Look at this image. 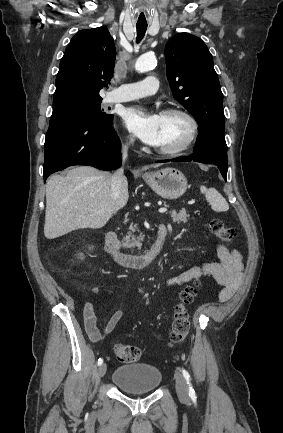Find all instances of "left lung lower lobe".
I'll list each match as a JSON object with an SVG mask.
<instances>
[{"label": "left lung lower lobe", "mask_w": 283, "mask_h": 433, "mask_svg": "<svg viewBox=\"0 0 283 433\" xmlns=\"http://www.w3.org/2000/svg\"><path fill=\"white\" fill-rule=\"evenodd\" d=\"M194 153L190 156H182L171 160H159L157 162L169 161H197L217 165L223 178L227 177V145L225 142V131L219 128H208L199 131Z\"/></svg>", "instance_id": "obj_1"}]
</instances>
